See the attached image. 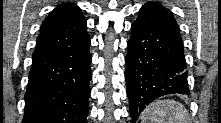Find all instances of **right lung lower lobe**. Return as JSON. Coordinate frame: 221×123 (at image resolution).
Here are the masks:
<instances>
[{
  "label": "right lung lower lobe",
  "mask_w": 221,
  "mask_h": 123,
  "mask_svg": "<svg viewBox=\"0 0 221 123\" xmlns=\"http://www.w3.org/2000/svg\"><path fill=\"white\" fill-rule=\"evenodd\" d=\"M90 38L37 46L25 94L24 123H87Z\"/></svg>",
  "instance_id": "98d812e1"
}]
</instances>
